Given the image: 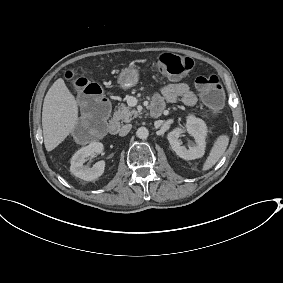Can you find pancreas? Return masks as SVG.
I'll use <instances>...</instances> for the list:
<instances>
[{"label": "pancreas", "mask_w": 283, "mask_h": 283, "mask_svg": "<svg viewBox=\"0 0 283 283\" xmlns=\"http://www.w3.org/2000/svg\"><path fill=\"white\" fill-rule=\"evenodd\" d=\"M137 116L138 112L135 109L130 108L127 105H121L119 109L113 114V120H122L125 123H129L133 118Z\"/></svg>", "instance_id": "obj_1"}]
</instances>
